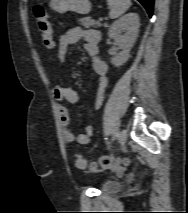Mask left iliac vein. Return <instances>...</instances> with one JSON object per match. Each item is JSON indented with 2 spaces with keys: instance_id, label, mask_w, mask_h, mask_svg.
Returning <instances> with one entry per match:
<instances>
[{
  "instance_id": "left-iliac-vein-1",
  "label": "left iliac vein",
  "mask_w": 188,
  "mask_h": 213,
  "mask_svg": "<svg viewBox=\"0 0 188 213\" xmlns=\"http://www.w3.org/2000/svg\"><path fill=\"white\" fill-rule=\"evenodd\" d=\"M118 134H119L118 138H119L120 143L122 145H124L127 141V136H128L127 131L121 130Z\"/></svg>"
}]
</instances>
